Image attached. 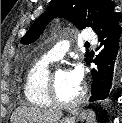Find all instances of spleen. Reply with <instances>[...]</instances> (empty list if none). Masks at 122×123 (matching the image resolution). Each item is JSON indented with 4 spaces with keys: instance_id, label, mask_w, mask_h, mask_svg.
Wrapping results in <instances>:
<instances>
[{
    "instance_id": "1",
    "label": "spleen",
    "mask_w": 122,
    "mask_h": 123,
    "mask_svg": "<svg viewBox=\"0 0 122 123\" xmlns=\"http://www.w3.org/2000/svg\"><path fill=\"white\" fill-rule=\"evenodd\" d=\"M87 123H96L95 113L92 110L84 112Z\"/></svg>"
}]
</instances>
